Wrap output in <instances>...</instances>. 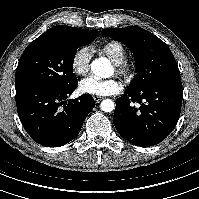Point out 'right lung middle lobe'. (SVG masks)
<instances>
[{
	"label": "right lung middle lobe",
	"mask_w": 199,
	"mask_h": 199,
	"mask_svg": "<svg viewBox=\"0 0 199 199\" xmlns=\"http://www.w3.org/2000/svg\"><path fill=\"white\" fill-rule=\"evenodd\" d=\"M92 34L45 32L24 50L16 70V89L26 86L66 88L78 83L73 73L77 49L94 41Z\"/></svg>",
	"instance_id": "1"
}]
</instances>
